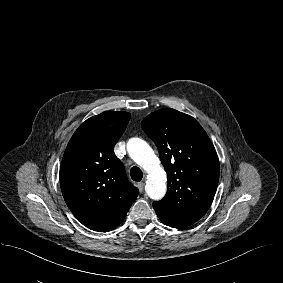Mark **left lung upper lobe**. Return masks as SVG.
I'll use <instances>...</instances> for the list:
<instances>
[{"mask_svg": "<svg viewBox=\"0 0 283 283\" xmlns=\"http://www.w3.org/2000/svg\"><path fill=\"white\" fill-rule=\"evenodd\" d=\"M158 148L168 175V190L153 207L160 220L184 228L209 209L219 180V161L201 125L191 116L171 108L160 109L141 122Z\"/></svg>", "mask_w": 283, "mask_h": 283, "instance_id": "5c2ea615", "label": "left lung upper lobe"}]
</instances>
